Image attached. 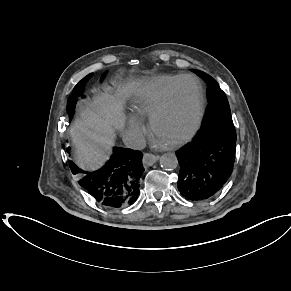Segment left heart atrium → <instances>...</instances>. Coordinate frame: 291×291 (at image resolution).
I'll return each mask as SVG.
<instances>
[{
	"instance_id": "left-heart-atrium-1",
	"label": "left heart atrium",
	"mask_w": 291,
	"mask_h": 291,
	"mask_svg": "<svg viewBox=\"0 0 291 291\" xmlns=\"http://www.w3.org/2000/svg\"><path fill=\"white\" fill-rule=\"evenodd\" d=\"M153 145L155 147H164L168 145V142L155 135L153 138Z\"/></svg>"
}]
</instances>
